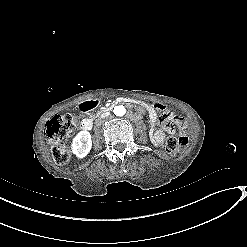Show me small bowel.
I'll use <instances>...</instances> for the list:
<instances>
[{"label": "small bowel", "instance_id": "obj_1", "mask_svg": "<svg viewBox=\"0 0 247 247\" xmlns=\"http://www.w3.org/2000/svg\"><path fill=\"white\" fill-rule=\"evenodd\" d=\"M146 111H147V115L148 118L150 120L151 123H156L157 119H158V111H155L151 105H147L146 106ZM175 115V114H174ZM176 116V115H175ZM176 123L178 124L180 129H184L185 128V123L184 121L176 116ZM151 140L155 145H162L164 143L165 140V133L162 129H154L151 132Z\"/></svg>", "mask_w": 247, "mask_h": 247}]
</instances>
